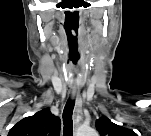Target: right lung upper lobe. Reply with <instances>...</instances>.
I'll use <instances>...</instances> for the list:
<instances>
[{
    "mask_svg": "<svg viewBox=\"0 0 151 136\" xmlns=\"http://www.w3.org/2000/svg\"><path fill=\"white\" fill-rule=\"evenodd\" d=\"M60 119L49 109H43L26 117L12 127L11 136H59Z\"/></svg>",
    "mask_w": 151,
    "mask_h": 136,
    "instance_id": "cb5924a9",
    "label": "right lung upper lobe"
}]
</instances>
